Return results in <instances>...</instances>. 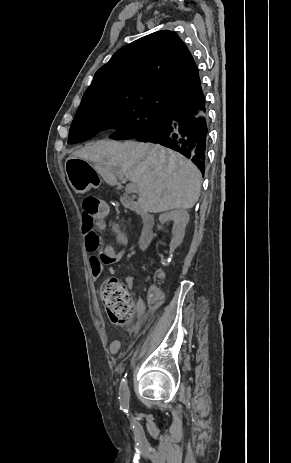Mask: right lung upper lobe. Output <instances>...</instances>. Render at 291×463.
Instances as JSON below:
<instances>
[{
  "label": "right lung upper lobe",
  "mask_w": 291,
  "mask_h": 463,
  "mask_svg": "<svg viewBox=\"0 0 291 463\" xmlns=\"http://www.w3.org/2000/svg\"><path fill=\"white\" fill-rule=\"evenodd\" d=\"M203 98L187 46L175 32L162 30L119 49L95 73L78 109L129 101L163 114L195 113Z\"/></svg>",
  "instance_id": "right-lung-upper-lobe-1"
}]
</instances>
